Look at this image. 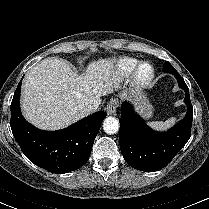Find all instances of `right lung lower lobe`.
<instances>
[{"instance_id":"obj_1","label":"right lung lower lobe","mask_w":209,"mask_h":209,"mask_svg":"<svg viewBox=\"0 0 209 209\" xmlns=\"http://www.w3.org/2000/svg\"><path fill=\"white\" fill-rule=\"evenodd\" d=\"M22 79L11 102L10 126L24 155L52 173H65L83 166L89 159L106 113H94L59 131L39 130L21 114L19 98Z\"/></svg>"}]
</instances>
